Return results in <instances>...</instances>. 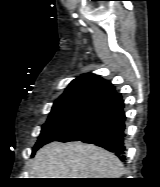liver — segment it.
<instances>
[{
    "instance_id": "liver-1",
    "label": "liver",
    "mask_w": 160,
    "mask_h": 187,
    "mask_svg": "<svg viewBox=\"0 0 160 187\" xmlns=\"http://www.w3.org/2000/svg\"><path fill=\"white\" fill-rule=\"evenodd\" d=\"M122 162L91 144L52 142L41 148L31 166V178H119Z\"/></svg>"
}]
</instances>
